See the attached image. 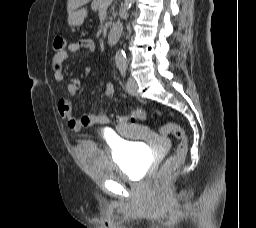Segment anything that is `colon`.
<instances>
[{"label": "colon", "mask_w": 256, "mask_h": 228, "mask_svg": "<svg viewBox=\"0 0 256 228\" xmlns=\"http://www.w3.org/2000/svg\"><path fill=\"white\" fill-rule=\"evenodd\" d=\"M65 45L66 42L62 36L57 35L54 37V53H58L64 50ZM144 119L145 113L143 110L140 109L132 111L128 117L123 118V120H130L132 122H139L143 121ZM161 132L164 135H173L179 141V143L176 152L164 162L154 178V186L157 189L161 188L168 175L182 164L188 151L187 135L180 125L173 122L165 123L161 128Z\"/></svg>", "instance_id": "5ec220e1"}]
</instances>
